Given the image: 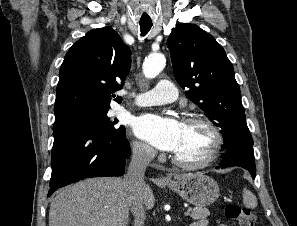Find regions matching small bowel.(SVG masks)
Listing matches in <instances>:
<instances>
[{
	"label": "small bowel",
	"mask_w": 297,
	"mask_h": 226,
	"mask_svg": "<svg viewBox=\"0 0 297 226\" xmlns=\"http://www.w3.org/2000/svg\"><path fill=\"white\" fill-rule=\"evenodd\" d=\"M192 226H207V221L202 220L194 223ZM219 226H227V225H219Z\"/></svg>",
	"instance_id": "small-bowel-1"
}]
</instances>
